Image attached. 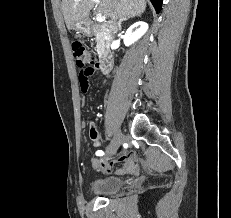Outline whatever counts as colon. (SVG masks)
<instances>
[{
  "mask_svg": "<svg viewBox=\"0 0 231 218\" xmlns=\"http://www.w3.org/2000/svg\"><path fill=\"white\" fill-rule=\"evenodd\" d=\"M72 52L79 69H85L86 66L97 63L96 54L79 41L72 44Z\"/></svg>",
  "mask_w": 231,
  "mask_h": 218,
  "instance_id": "5ec220e1",
  "label": "colon"
}]
</instances>
